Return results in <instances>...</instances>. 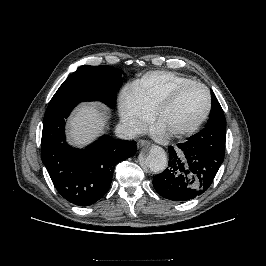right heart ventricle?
<instances>
[{"mask_svg":"<svg viewBox=\"0 0 266 266\" xmlns=\"http://www.w3.org/2000/svg\"><path fill=\"white\" fill-rule=\"evenodd\" d=\"M193 81L169 71H152L144 74L129 85L142 105L151 113L158 102L175 86Z\"/></svg>","mask_w":266,"mask_h":266,"instance_id":"e07e8e85","label":"right heart ventricle"}]
</instances>
